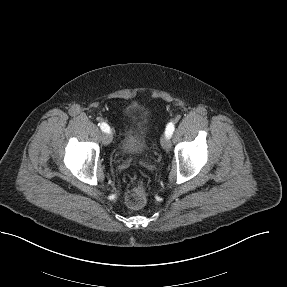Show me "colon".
Here are the masks:
<instances>
[{"label":"colon","instance_id":"colon-1","mask_svg":"<svg viewBox=\"0 0 287 287\" xmlns=\"http://www.w3.org/2000/svg\"><path fill=\"white\" fill-rule=\"evenodd\" d=\"M146 196H147V185L145 181L138 176L131 177L127 185L125 195L127 205L130 208L138 209L145 204Z\"/></svg>","mask_w":287,"mask_h":287}]
</instances>
